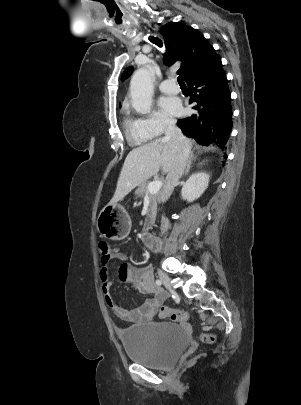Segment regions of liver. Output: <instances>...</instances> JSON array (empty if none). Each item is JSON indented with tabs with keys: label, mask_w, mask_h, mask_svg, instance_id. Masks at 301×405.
Wrapping results in <instances>:
<instances>
[{
	"label": "liver",
	"mask_w": 301,
	"mask_h": 405,
	"mask_svg": "<svg viewBox=\"0 0 301 405\" xmlns=\"http://www.w3.org/2000/svg\"><path fill=\"white\" fill-rule=\"evenodd\" d=\"M187 141L191 148L192 141ZM175 156V142L165 137L131 150L125 159L115 194L109 204L114 205L123 200L134 188L155 176L160 169L167 173Z\"/></svg>",
	"instance_id": "liver-1"
}]
</instances>
